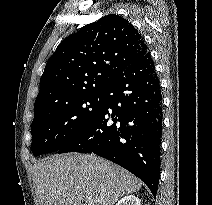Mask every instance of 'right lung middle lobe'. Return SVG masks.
Wrapping results in <instances>:
<instances>
[{
	"instance_id": "1",
	"label": "right lung middle lobe",
	"mask_w": 212,
	"mask_h": 205,
	"mask_svg": "<svg viewBox=\"0 0 212 205\" xmlns=\"http://www.w3.org/2000/svg\"><path fill=\"white\" fill-rule=\"evenodd\" d=\"M103 104L102 93H97L34 114L31 125L33 154L58 151L96 117Z\"/></svg>"
}]
</instances>
